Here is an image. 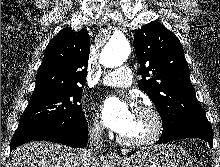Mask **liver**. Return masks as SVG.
I'll return each mask as SVG.
<instances>
[{
    "label": "liver",
    "mask_w": 220,
    "mask_h": 167,
    "mask_svg": "<svg viewBox=\"0 0 220 167\" xmlns=\"http://www.w3.org/2000/svg\"><path fill=\"white\" fill-rule=\"evenodd\" d=\"M80 151L52 142H29L12 151L8 167H81ZM92 167H100L98 159Z\"/></svg>",
    "instance_id": "liver-1"
}]
</instances>
